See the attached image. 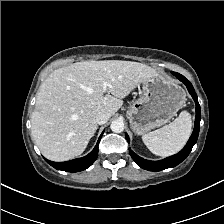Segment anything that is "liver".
Segmentation results:
<instances>
[{"label":"liver","mask_w":224,"mask_h":224,"mask_svg":"<svg viewBox=\"0 0 224 224\" xmlns=\"http://www.w3.org/2000/svg\"><path fill=\"white\" fill-rule=\"evenodd\" d=\"M155 75L143 63L121 60L82 61L54 70L40 87L31 118L42 155L52 161L81 155L97 130V113L114 115L123 98Z\"/></svg>","instance_id":"obj_1"}]
</instances>
